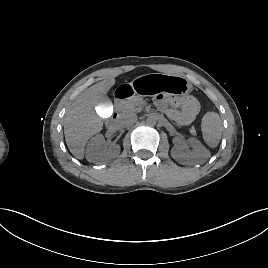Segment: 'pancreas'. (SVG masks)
Listing matches in <instances>:
<instances>
[{"label":"pancreas","mask_w":268,"mask_h":268,"mask_svg":"<svg viewBox=\"0 0 268 268\" xmlns=\"http://www.w3.org/2000/svg\"><path fill=\"white\" fill-rule=\"evenodd\" d=\"M145 105V101L141 96H133L130 99L122 100L117 104V110L122 114L130 112H139Z\"/></svg>","instance_id":"pancreas-1"}]
</instances>
